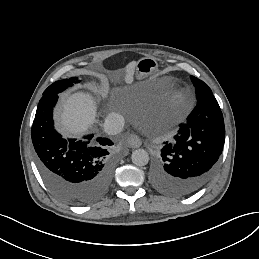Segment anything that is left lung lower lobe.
Segmentation results:
<instances>
[{"instance_id": "1", "label": "left lung lower lobe", "mask_w": 259, "mask_h": 259, "mask_svg": "<svg viewBox=\"0 0 259 259\" xmlns=\"http://www.w3.org/2000/svg\"><path fill=\"white\" fill-rule=\"evenodd\" d=\"M198 105L172 144L161 149L151 168L150 181L161 193L186 197L213 176L225 141L223 115L212 91L197 94Z\"/></svg>"}]
</instances>
